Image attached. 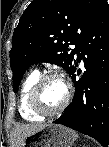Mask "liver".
I'll return each instance as SVG.
<instances>
[{
  "label": "liver",
  "instance_id": "6515ba94",
  "mask_svg": "<svg viewBox=\"0 0 109 147\" xmlns=\"http://www.w3.org/2000/svg\"><path fill=\"white\" fill-rule=\"evenodd\" d=\"M46 124H21L15 126L11 133L12 147H23L25 138L45 127Z\"/></svg>",
  "mask_w": 109,
  "mask_h": 147
}]
</instances>
